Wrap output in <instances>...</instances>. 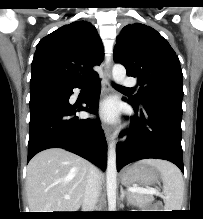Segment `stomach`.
Instances as JSON below:
<instances>
[{
  "instance_id": "stomach-1",
  "label": "stomach",
  "mask_w": 203,
  "mask_h": 219,
  "mask_svg": "<svg viewBox=\"0 0 203 219\" xmlns=\"http://www.w3.org/2000/svg\"><path fill=\"white\" fill-rule=\"evenodd\" d=\"M161 178L158 169L142 163L127 167L121 174V181L126 185L138 183L149 186L159 183Z\"/></svg>"
}]
</instances>
